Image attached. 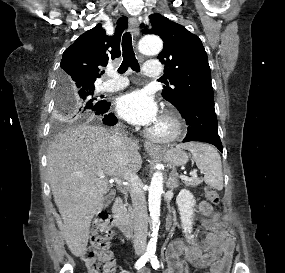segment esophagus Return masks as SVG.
Masks as SVG:
<instances>
[{
	"label": "esophagus",
	"instance_id": "obj_1",
	"mask_svg": "<svg viewBox=\"0 0 285 273\" xmlns=\"http://www.w3.org/2000/svg\"><path fill=\"white\" fill-rule=\"evenodd\" d=\"M129 27L132 30L134 36L138 37L139 36V23L135 17H131L129 19ZM144 147L147 152H157L158 151L156 146L149 141L144 142Z\"/></svg>",
	"mask_w": 285,
	"mask_h": 273
}]
</instances>
